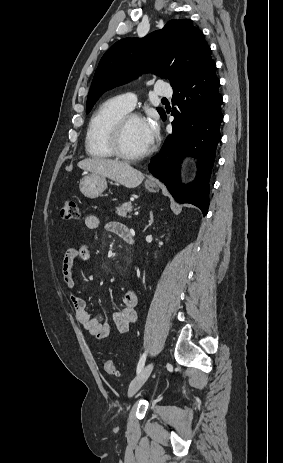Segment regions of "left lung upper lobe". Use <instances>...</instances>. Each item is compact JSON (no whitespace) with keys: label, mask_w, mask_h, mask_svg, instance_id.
Here are the masks:
<instances>
[{"label":"left lung upper lobe","mask_w":283,"mask_h":463,"mask_svg":"<svg viewBox=\"0 0 283 463\" xmlns=\"http://www.w3.org/2000/svg\"><path fill=\"white\" fill-rule=\"evenodd\" d=\"M211 61V49L191 20L173 19L162 30L144 38H125L112 45L101 58L87 98V113L107 90L142 73L168 78L171 86L185 82ZM163 118L165 112L157 108Z\"/></svg>","instance_id":"left-lung-upper-lobe-1"}]
</instances>
